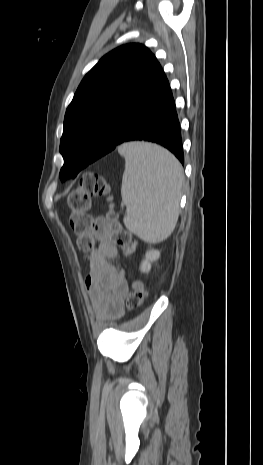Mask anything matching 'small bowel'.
I'll use <instances>...</instances> for the list:
<instances>
[{
    "instance_id": "c3829d8e",
    "label": "small bowel",
    "mask_w": 263,
    "mask_h": 465,
    "mask_svg": "<svg viewBox=\"0 0 263 465\" xmlns=\"http://www.w3.org/2000/svg\"><path fill=\"white\" fill-rule=\"evenodd\" d=\"M95 237L98 246L91 253L90 271L85 283L93 310L99 320L105 321L121 315L128 285L124 272L111 263L118 251L108 230L99 227Z\"/></svg>"
}]
</instances>
